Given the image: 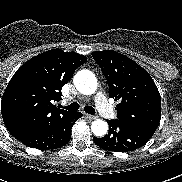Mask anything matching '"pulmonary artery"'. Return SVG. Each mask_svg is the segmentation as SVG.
Masks as SVG:
<instances>
[{
  "label": "pulmonary artery",
  "mask_w": 182,
  "mask_h": 182,
  "mask_svg": "<svg viewBox=\"0 0 182 182\" xmlns=\"http://www.w3.org/2000/svg\"><path fill=\"white\" fill-rule=\"evenodd\" d=\"M95 104L98 109V111L108 119H113L115 118V112L112 109V107L108 104L107 99L105 95L101 92H98L95 97Z\"/></svg>",
  "instance_id": "1"
}]
</instances>
